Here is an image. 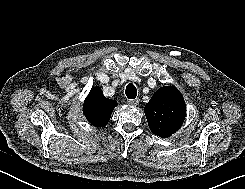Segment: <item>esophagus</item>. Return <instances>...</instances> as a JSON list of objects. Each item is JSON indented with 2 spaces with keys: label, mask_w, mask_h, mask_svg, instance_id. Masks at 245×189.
Segmentation results:
<instances>
[{
  "label": "esophagus",
  "mask_w": 245,
  "mask_h": 189,
  "mask_svg": "<svg viewBox=\"0 0 245 189\" xmlns=\"http://www.w3.org/2000/svg\"><path fill=\"white\" fill-rule=\"evenodd\" d=\"M128 102H129L130 105L136 106V105L139 104L140 99L139 98L130 99V100H128Z\"/></svg>",
  "instance_id": "obj_1"
}]
</instances>
